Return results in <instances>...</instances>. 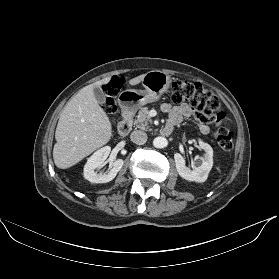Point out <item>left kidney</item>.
<instances>
[{"mask_svg":"<svg viewBox=\"0 0 279 279\" xmlns=\"http://www.w3.org/2000/svg\"><path fill=\"white\" fill-rule=\"evenodd\" d=\"M199 147L204 150L205 154L204 157L197 158L200 159L201 163L193 170L186 167L185 160L181 154L175 153L174 159L177 172L182 178L188 181L202 183L206 181L208 173L213 166V149L209 144L202 141H199Z\"/></svg>","mask_w":279,"mask_h":279,"instance_id":"left-kidney-1","label":"left kidney"}]
</instances>
